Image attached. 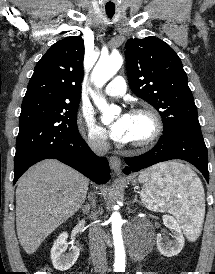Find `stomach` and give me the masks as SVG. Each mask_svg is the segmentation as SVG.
Masks as SVG:
<instances>
[{
  "label": "stomach",
  "instance_id": "obj_1",
  "mask_svg": "<svg viewBox=\"0 0 215 274\" xmlns=\"http://www.w3.org/2000/svg\"><path fill=\"white\" fill-rule=\"evenodd\" d=\"M173 163H175V162H169V163H167L169 166H171ZM133 184H136V180H133Z\"/></svg>",
  "mask_w": 215,
  "mask_h": 274
}]
</instances>
